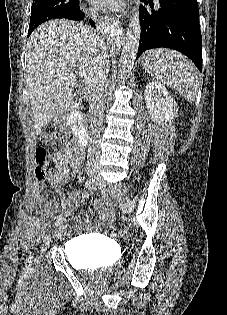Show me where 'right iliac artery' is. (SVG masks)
Segmentation results:
<instances>
[{"mask_svg": "<svg viewBox=\"0 0 227 315\" xmlns=\"http://www.w3.org/2000/svg\"><path fill=\"white\" fill-rule=\"evenodd\" d=\"M95 185V179L91 178V179H88L86 182H85V187L88 188V189H92ZM64 221V218L63 217H59L57 219V221L55 222V225H60L62 222ZM31 256L30 258H28L26 260V263H25V268L26 269H29V267L31 266Z\"/></svg>", "mask_w": 227, "mask_h": 315, "instance_id": "right-iliac-artery-1", "label": "right iliac artery"}]
</instances>
